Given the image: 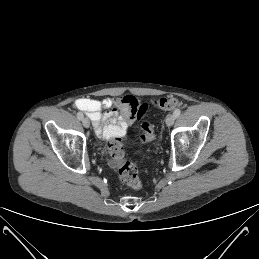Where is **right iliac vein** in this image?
<instances>
[{
	"mask_svg": "<svg viewBox=\"0 0 259 259\" xmlns=\"http://www.w3.org/2000/svg\"><path fill=\"white\" fill-rule=\"evenodd\" d=\"M82 123H83V126H84L85 128H89V126H90V121H89L88 118L84 117V118L82 119Z\"/></svg>",
	"mask_w": 259,
	"mask_h": 259,
	"instance_id": "1",
	"label": "right iliac vein"
}]
</instances>
